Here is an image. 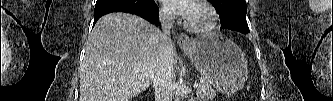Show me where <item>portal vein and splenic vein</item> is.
Instances as JSON below:
<instances>
[{"instance_id":"18ae733b","label":"portal vein and splenic vein","mask_w":333,"mask_h":101,"mask_svg":"<svg viewBox=\"0 0 333 101\" xmlns=\"http://www.w3.org/2000/svg\"><path fill=\"white\" fill-rule=\"evenodd\" d=\"M194 88H197L198 87V83L195 82L194 85H193Z\"/></svg>"}]
</instances>
